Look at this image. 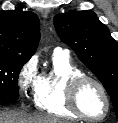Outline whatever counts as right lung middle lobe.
Segmentation results:
<instances>
[{"label":"right lung middle lobe","instance_id":"right-lung-middle-lobe-1","mask_svg":"<svg viewBox=\"0 0 118 123\" xmlns=\"http://www.w3.org/2000/svg\"><path fill=\"white\" fill-rule=\"evenodd\" d=\"M27 60L0 55V101L13 102L19 98L18 74Z\"/></svg>","mask_w":118,"mask_h":123}]
</instances>
